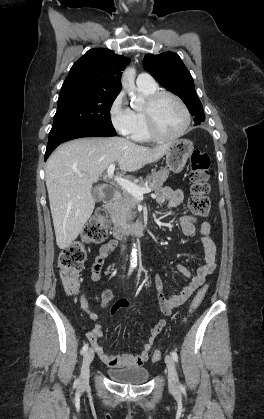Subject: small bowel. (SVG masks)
Listing matches in <instances>:
<instances>
[{
    "label": "small bowel",
    "instance_id": "c3829d8e",
    "mask_svg": "<svg viewBox=\"0 0 264 419\" xmlns=\"http://www.w3.org/2000/svg\"><path fill=\"white\" fill-rule=\"evenodd\" d=\"M184 200V192L181 189H172L171 187H163L156 193V201L160 204L166 203L168 208L178 206ZM198 219L194 216L185 215L177 219V223L185 236H191L196 231V223ZM211 225L207 220H204L199 225V243L203 248V262L197 268L194 275L183 265L176 267L177 271L183 276L189 278V282L182 288V290L175 295L165 296L163 293L162 281L158 275L154 277V284L157 290V297L160 304L161 311L164 315H171L174 308L186 302L191 295L203 283L208 275H210L216 268L217 264V247L210 237ZM118 242L111 239L104 243L98 250L91 264L90 276L92 281L97 282L101 279V270L105 259L116 248ZM112 293L109 289L103 290L101 294V301L104 305L110 303ZM125 300L116 301L110 309V314L115 315L121 308L126 307ZM82 307L87 312L89 317L97 321L98 316L90 311L88 304L85 300L82 301ZM167 321L165 319L159 320L149 331L146 341L143 343L140 352L136 355L133 354H110L100 345L102 337V327L96 324L94 328L86 334L92 348L97 356L109 367L122 368L131 366H142L149 358V353L153 347L156 337L165 328Z\"/></svg>",
    "mask_w": 264,
    "mask_h": 419
}]
</instances>
